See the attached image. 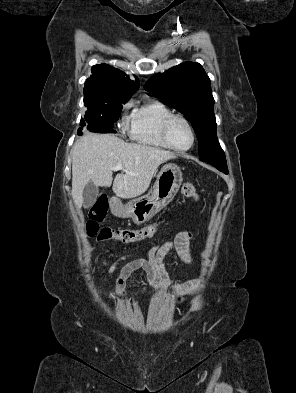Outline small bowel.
<instances>
[{
    "mask_svg": "<svg viewBox=\"0 0 296 393\" xmlns=\"http://www.w3.org/2000/svg\"><path fill=\"white\" fill-rule=\"evenodd\" d=\"M191 239V232L181 231L175 234L173 238L163 239L159 244L152 247L147 256H138L134 258H130L131 255L122 256L119 261L127 260V262L121 267L117 278V286L120 290L121 297L125 300H132L125 290L126 282L133 272L141 270L146 274L147 281L151 287L157 292H175L178 295L176 304H179L182 301V296L189 293L196 286V283L186 282L171 285L164 267L163 259L168 251L175 249L183 262L193 264L195 259L189 247ZM117 266L118 261L107 264L108 273H114L117 270ZM115 298V295L112 294L110 296V301Z\"/></svg>",
    "mask_w": 296,
    "mask_h": 393,
    "instance_id": "obj_1",
    "label": "small bowel"
}]
</instances>
